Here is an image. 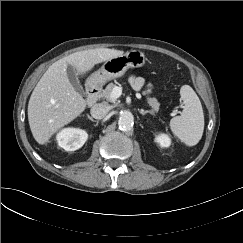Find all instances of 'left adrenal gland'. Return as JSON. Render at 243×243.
I'll list each match as a JSON object with an SVG mask.
<instances>
[{
  "label": "left adrenal gland",
  "mask_w": 243,
  "mask_h": 243,
  "mask_svg": "<svg viewBox=\"0 0 243 243\" xmlns=\"http://www.w3.org/2000/svg\"><path fill=\"white\" fill-rule=\"evenodd\" d=\"M139 113L142 115H145L147 113L154 114L153 111L150 110H143V109H138Z\"/></svg>",
  "instance_id": "1"
}]
</instances>
